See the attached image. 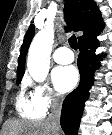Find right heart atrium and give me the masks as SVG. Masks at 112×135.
<instances>
[{"label":"right heart atrium","instance_id":"right-heart-atrium-1","mask_svg":"<svg viewBox=\"0 0 112 135\" xmlns=\"http://www.w3.org/2000/svg\"><path fill=\"white\" fill-rule=\"evenodd\" d=\"M26 84L30 88V96L34 105L44 114L59 106L61 102L59 95L47 84L31 81H27Z\"/></svg>","mask_w":112,"mask_h":135}]
</instances>
